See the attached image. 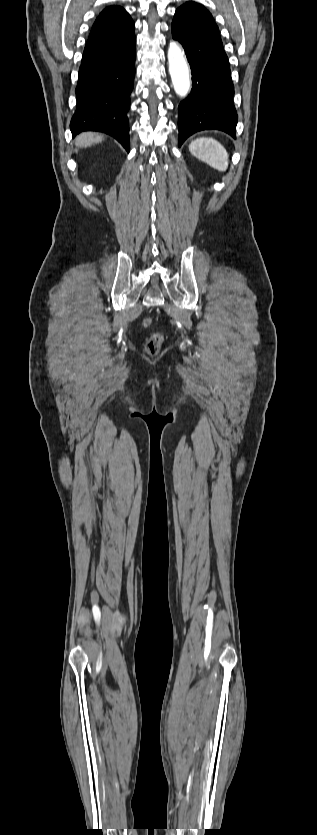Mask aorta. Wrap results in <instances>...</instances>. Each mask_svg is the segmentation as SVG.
Instances as JSON below:
<instances>
[{
  "label": "aorta",
  "mask_w": 317,
  "mask_h": 835,
  "mask_svg": "<svg viewBox=\"0 0 317 835\" xmlns=\"http://www.w3.org/2000/svg\"><path fill=\"white\" fill-rule=\"evenodd\" d=\"M168 63L174 90L177 95L185 98L190 90L189 68L177 42L169 45Z\"/></svg>",
  "instance_id": "obj_1"
}]
</instances>
